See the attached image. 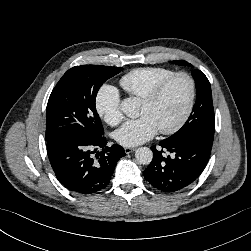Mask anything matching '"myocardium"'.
<instances>
[{
    "label": "myocardium",
    "mask_w": 251,
    "mask_h": 251,
    "mask_svg": "<svg viewBox=\"0 0 251 251\" xmlns=\"http://www.w3.org/2000/svg\"><path fill=\"white\" fill-rule=\"evenodd\" d=\"M177 78H184L188 83V86H189L188 101H187V104H186V107L182 116L174 125L168 128L158 129L159 132L163 135H171V134L176 133L188 121L192 113V110L195 104V99H196V83H195L194 78L186 72H175L169 77H167L165 80L160 82L144 98H142V102H144L147 105H151L155 103L161 97L164 91L168 88V86Z\"/></svg>",
    "instance_id": "f54148a6"
}]
</instances>
